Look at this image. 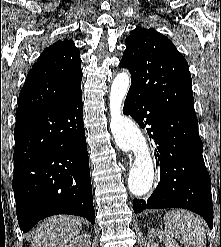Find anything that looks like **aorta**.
Listing matches in <instances>:
<instances>
[{"label":"aorta","mask_w":221,"mask_h":247,"mask_svg":"<svg viewBox=\"0 0 221 247\" xmlns=\"http://www.w3.org/2000/svg\"><path fill=\"white\" fill-rule=\"evenodd\" d=\"M130 86L127 73L116 76L110 91L111 132L117 146L134 154V161L128 177V188L135 196H143L150 191L154 180V166L147 140L138 126L123 116L122 107Z\"/></svg>","instance_id":"obj_1"}]
</instances>
